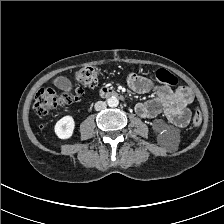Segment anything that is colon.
<instances>
[{"label":"colon","instance_id":"1","mask_svg":"<svg viewBox=\"0 0 224 224\" xmlns=\"http://www.w3.org/2000/svg\"><path fill=\"white\" fill-rule=\"evenodd\" d=\"M100 75V71L96 66L86 65L81 67L75 74V80L78 84L90 86L94 84ZM156 78L159 82L167 85H175L176 77L165 69H159L156 72ZM81 94V89H77L75 93L64 92L57 94L51 88L40 89L35 97L34 109L39 116L48 115L52 109L57 106L68 104L76 99ZM202 122V114L199 109H196L192 117V125L197 127Z\"/></svg>","mask_w":224,"mask_h":224}]
</instances>
